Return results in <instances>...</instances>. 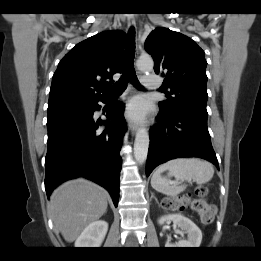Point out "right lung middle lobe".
I'll return each mask as SVG.
<instances>
[{"mask_svg":"<svg viewBox=\"0 0 261 261\" xmlns=\"http://www.w3.org/2000/svg\"><path fill=\"white\" fill-rule=\"evenodd\" d=\"M86 102L72 100H56L48 102V112L58 110L68 106H81Z\"/></svg>","mask_w":261,"mask_h":261,"instance_id":"right-lung-middle-lobe-1","label":"right lung middle lobe"}]
</instances>
